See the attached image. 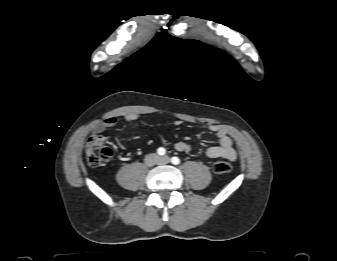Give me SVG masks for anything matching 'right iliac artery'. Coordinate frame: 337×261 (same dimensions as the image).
I'll use <instances>...</instances> for the list:
<instances>
[{
	"label": "right iliac artery",
	"mask_w": 337,
	"mask_h": 261,
	"mask_svg": "<svg viewBox=\"0 0 337 261\" xmlns=\"http://www.w3.org/2000/svg\"><path fill=\"white\" fill-rule=\"evenodd\" d=\"M157 153L162 156L166 153V150L163 147H160L158 148Z\"/></svg>",
	"instance_id": "82829eb1"
}]
</instances>
